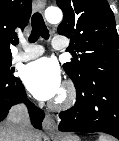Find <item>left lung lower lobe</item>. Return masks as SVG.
Listing matches in <instances>:
<instances>
[{"mask_svg": "<svg viewBox=\"0 0 119 141\" xmlns=\"http://www.w3.org/2000/svg\"><path fill=\"white\" fill-rule=\"evenodd\" d=\"M75 87L76 103L59 113V130L104 132L119 139V74H97Z\"/></svg>", "mask_w": 119, "mask_h": 141, "instance_id": "1", "label": "left lung lower lobe"}]
</instances>
